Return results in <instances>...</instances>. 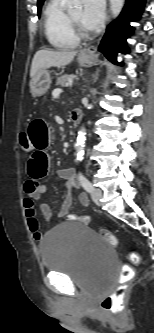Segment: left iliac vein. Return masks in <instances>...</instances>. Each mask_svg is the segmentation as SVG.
Wrapping results in <instances>:
<instances>
[{
    "mask_svg": "<svg viewBox=\"0 0 154 333\" xmlns=\"http://www.w3.org/2000/svg\"><path fill=\"white\" fill-rule=\"evenodd\" d=\"M102 191L100 189L94 188L92 193H91V198L93 200L94 203L99 204L100 203V199L102 197Z\"/></svg>",
    "mask_w": 154,
    "mask_h": 333,
    "instance_id": "1",
    "label": "left iliac vein"
}]
</instances>
